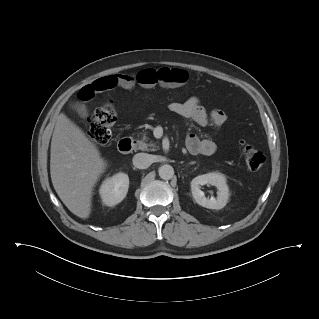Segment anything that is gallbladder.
I'll use <instances>...</instances> for the list:
<instances>
[{"instance_id": "gallbladder-1", "label": "gallbladder", "mask_w": 319, "mask_h": 319, "mask_svg": "<svg viewBox=\"0 0 319 319\" xmlns=\"http://www.w3.org/2000/svg\"><path fill=\"white\" fill-rule=\"evenodd\" d=\"M73 108L79 110L83 115H86V111L83 106L74 105Z\"/></svg>"}]
</instances>
